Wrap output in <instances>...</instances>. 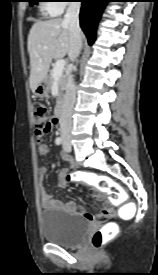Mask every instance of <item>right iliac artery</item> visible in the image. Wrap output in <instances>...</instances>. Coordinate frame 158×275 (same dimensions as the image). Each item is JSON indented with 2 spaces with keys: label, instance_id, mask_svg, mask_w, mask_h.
I'll use <instances>...</instances> for the list:
<instances>
[{
  "label": "right iliac artery",
  "instance_id": "obj_1",
  "mask_svg": "<svg viewBox=\"0 0 158 275\" xmlns=\"http://www.w3.org/2000/svg\"><path fill=\"white\" fill-rule=\"evenodd\" d=\"M55 143L57 145H60L62 143V138L61 137H57L56 140H55Z\"/></svg>",
  "mask_w": 158,
  "mask_h": 275
}]
</instances>
